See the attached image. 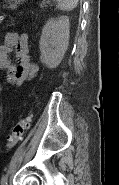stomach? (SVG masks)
<instances>
[{
    "label": "stomach",
    "mask_w": 119,
    "mask_h": 185,
    "mask_svg": "<svg viewBox=\"0 0 119 185\" xmlns=\"http://www.w3.org/2000/svg\"><path fill=\"white\" fill-rule=\"evenodd\" d=\"M23 0H13V3L10 4V8L14 9L17 7V4H19Z\"/></svg>",
    "instance_id": "obj_1"
}]
</instances>
